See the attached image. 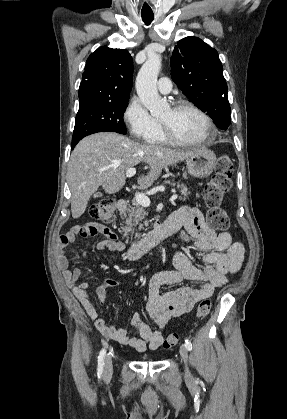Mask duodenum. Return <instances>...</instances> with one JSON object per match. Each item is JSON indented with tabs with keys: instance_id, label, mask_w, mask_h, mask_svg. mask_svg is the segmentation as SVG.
Wrapping results in <instances>:
<instances>
[{
	"instance_id": "duodenum-1",
	"label": "duodenum",
	"mask_w": 287,
	"mask_h": 419,
	"mask_svg": "<svg viewBox=\"0 0 287 419\" xmlns=\"http://www.w3.org/2000/svg\"><path fill=\"white\" fill-rule=\"evenodd\" d=\"M128 207V201L126 199H119L117 202V208L119 212H125ZM176 228L165 223L158 230H154L146 234L140 240L135 242L127 251V258L131 261L139 259L142 255L147 253L150 249L156 246L160 240L171 236L175 232Z\"/></svg>"
}]
</instances>
